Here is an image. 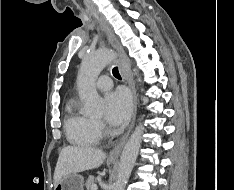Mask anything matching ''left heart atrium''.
<instances>
[{"label":"left heart atrium","mask_w":234,"mask_h":190,"mask_svg":"<svg viewBox=\"0 0 234 190\" xmlns=\"http://www.w3.org/2000/svg\"><path fill=\"white\" fill-rule=\"evenodd\" d=\"M106 120L113 126L124 125L130 117L132 101L124 89H117L105 96Z\"/></svg>","instance_id":"obj_1"}]
</instances>
